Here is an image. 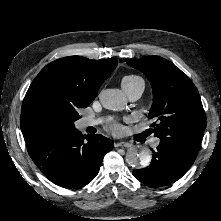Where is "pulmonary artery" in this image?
Returning a JSON list of instances; mask_svg holds the SVG:
<instances>
[{"instance_id":"obj_1","label":"pulmonary artery","mask_w":221,"mask_h":221,"mask_svg":"<svg viewBox=\"0 0 221 221\" xmlns=\"http://www.w3.org/2000/svg\"><path fill=\"white\" fill-rule=\"evenodd\" d=\"M122 88L127 96V98L130 101H136L138 100L143 91H144V83L143 82H139V83H135V84H131V85H122ZM103 118H87V119H83L81 121V127L85 128V127H89V126H96L100 123H102ZM154 146L158 145V140H154L153 143Z\"/></svg>"}]
</instances>
